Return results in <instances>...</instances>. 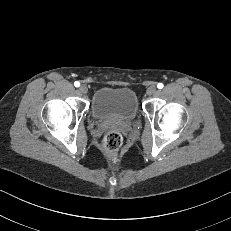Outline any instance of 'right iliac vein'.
<instances>
[{
    "label": "right iliac vein",
    "mask_w": 231,
    "mask_h": 231,
    "mask_svg": "<svg viewBox=\"0 0 231 231\" xmlns=\"http://www.w3.org/2000/svg\"><path fill=\"white\" fill-rule=\"evenodd\" d=\"M79 91H80L82 94H86L87 91H88V89H87V87H86L85 85H81V86L79 87Z\"/></svg>",
    "instance_id": "1"
}]
</instances>
